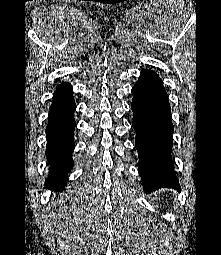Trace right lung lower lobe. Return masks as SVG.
<instances>
[{
  "mask_svg": "<svg viewBox=\"0 0 221 255\" xmlns=\"http://www.w3.org/2000/svg\"><path fill=\"white\" fill-rule=\"evenodd\" d=\"M74 110L72 87L68 83H63L54 94L46 128L48 140L46 156L50 165L46 188L58 192L63 191L67 172L73 167L72 151L75 146L73 131L76 125Z\"/></svg>",
  "mask_w": 221,
  "mask_h": 255,
  "instance_id": "98d812e1",
  "label": "right lung lower lobe"
}]
</instances>
